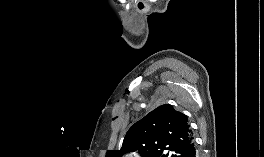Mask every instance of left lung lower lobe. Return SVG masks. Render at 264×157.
Listing matches in <instances>:
<instances>
[{"label":"left lung lower lobe","instance_id":"obj_1","mask_svg":"<svg viewBox=\"0 0 264 157\" xmlns=\"http://www.w3.org/2000/svg\"><path fill=\"white\" fill-rule=\"evenodd\" d=\"M185 157H199L197 155V149L194 141L188 147Z\"/></svg>","mask_w":264,"mask_h":157}]
</instances>
